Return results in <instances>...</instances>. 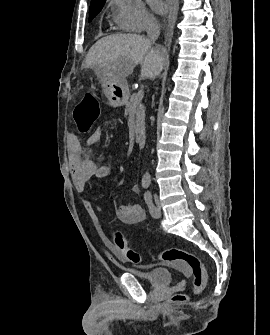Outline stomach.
Wrapping results in <instances>:
<instances>
[{"label":"stomach","mask_w":270,"mask_h":335,"mask_svg":"<svg viewBox=\"0 0 270 335\" xmlns=\"http://www.w3.org/2000/svg\"><path fill=\"white\" fill-rule=\"evenodd\" d=\"M103 94L111 106H124L129 98L127 82L116 80V71L113 67H100Z\"/></svg>","instance_id":"0dacf381"}]
</instances>
